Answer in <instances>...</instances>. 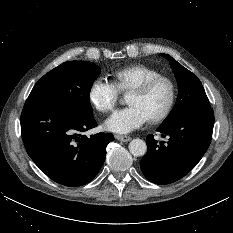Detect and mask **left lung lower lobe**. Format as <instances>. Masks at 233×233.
Here are the masks:
<instances>
[{"mask_svg":"<svg viewBox=\"0 0 233 233\" xmlns=\"http://www.w3.org/2000/svg\"><path fill=\"white\" fill-rule=\"evenodd\" d=\"M214 126L213 109L192 111L160 125L157 131L168 142L147 136V153L140 162L145 177L155 184H170L184 177L207 151Z\"/></svg>","mask_w":233,"mask_h":233,"instance_id":"obj_1","label":"left lung lower lobe"}]
</instances>
